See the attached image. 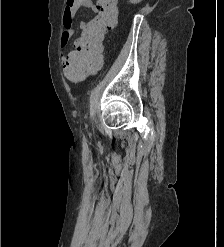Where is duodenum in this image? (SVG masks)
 Instances as JSON below:
<instances>
[{
    "mask_svg": "<svg viewBox=\"0 0 224 247\" xmlns=\"http://www.w3.org/2000/svg\"><path fill=\"white\" fill-rule=\"evenodd\" d=\"M82 48L86 50V45L83 43Z\"/></svg>",
    "mask_w": 224,
    "mask_h": 247,
    "instance_id": "1",
    "label": "duodenum"
}]
</instances>
